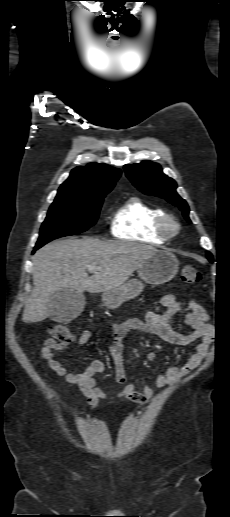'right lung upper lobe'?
<instances>
[{
    "instance_id": "cb5924a9",
    "label": "right lung upper lobe",
    "mask_w": 230,
    "mask_h": 517,
    "mask_svg": "<svg viewBox=\"0 0 230 517\" xmlns=\"http://www.w3.org/2000/svg\"><path fill=\"white\" fill-rule=\"evenodd\" d=\"M120 175L119 169L106 164L91 163L84 167H76L60 186L56 199L93 198L104 192H110Z\"/></svg>"
}]
</instances>
